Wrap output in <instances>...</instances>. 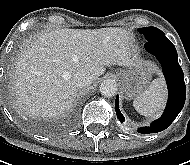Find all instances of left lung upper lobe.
<instances>
[{"label":"left lung upper lobe","mask_w":190,"mask_h":165,"mask_svg":"<svg viewBox=\"0 0 190 165\" xmlns=\"http://www.w3.org/2000/svg\"><path fill=\"white\" fill-rule=\"evenodd\" d=\"M138 31L145 36L147 42L153 41L160 37H166L165 34L156 27H143L139 28Z\"/></svg>","instance_id":"1"}]
</instances>
